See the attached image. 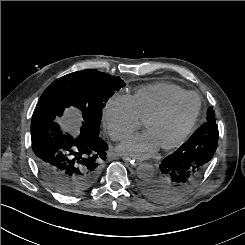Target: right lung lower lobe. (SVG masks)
Instances as JSON below:
<instances>
[{
    "label": "right lung lower lobe",
    "mask_w": 245,
    "mask_h": 245,
    "mask_svg": "<svg viewBox=\"0 0 245 245\" xmlns=\"http://www.w3.org/2000/svg\"><path fill=\"white\" fill-rule=\"evenodd\" d=\"M47 107H36L31 122L32 149L39 172L57 192L74 196L91 188L106 159L107 143L82 132L64 135Z\"/></svg>",
    "instance_id": "obj_1"
}]
</instances>
